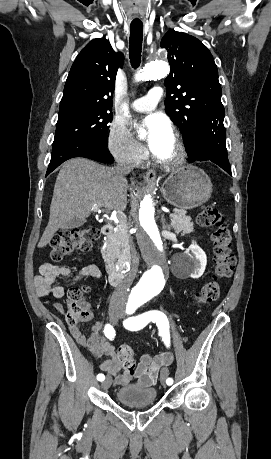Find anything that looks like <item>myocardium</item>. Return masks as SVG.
I'll return each mask as SVG.
<instances>
[{
  "label": "myocardium",
  "instance_id": "f54148a6",
  "mask_svg": "<svg viewBox=\"0 0 271 459\" xmlns=\"http://www.w3.org/2000/svg\"><path fill=\"white\" fill-rule=\"evenodd\" d=\"M171 136L174 143L173 152L168 156H159L152 151V157L159 163L169 166H176L180 164L185 158V146L179 134L173 128L171 131Z\"/></svg>",
  "mask_w": 271,
  "mask_h": 459
}]
</instances>
